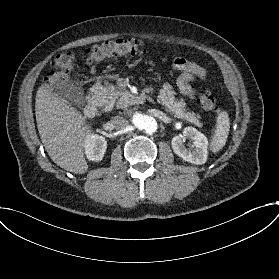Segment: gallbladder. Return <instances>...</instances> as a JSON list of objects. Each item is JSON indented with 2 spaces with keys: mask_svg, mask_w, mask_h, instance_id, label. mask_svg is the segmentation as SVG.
<instances>
[{
  "mask_svg": "<svg viewBox=\"0 0 279 279\" xmlns=\"http://www.w3.org/2000/svg\"><path fill=\"white\" fill-rule=\"evenodd\" d=\"M54 86L57 94L79 108L86 104L84 89L77 82L67 78L65 80H57Z\"/></svg>",
  "mask_w": 279,
  "mask_h": 279,
  "instance_id": "1",
  "label": "gallbladder"
}]
</instances>
